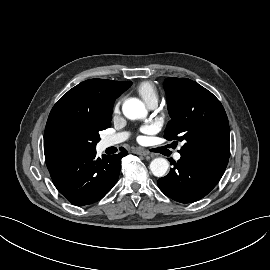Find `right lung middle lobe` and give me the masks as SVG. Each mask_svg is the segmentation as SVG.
<instances>
[{
	"instance_id": "1",
	"label": "right lung middle lobe",
	"mask_w": 270,
	"mask_h": 270,
	"mask_svg": "<svg viewBox=\"0 0 270 270\" xmlns=\"http://www.w3.org/2000/svg\"><path fill=\"white\" fill-rule=\"evenodd\" d=\"M111 126V120L62 117L44 135V148L52 155L84 154L95 150L99 132Z\"/></svg>"
}]
</instances>
